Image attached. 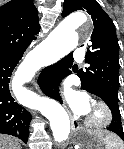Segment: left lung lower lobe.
Returning <instances> with one entry per match:
<instances>
[{
    "label": "left lung lower lobe",
    "instance_id": "obj_1",
    "mask_svg": "<svg viewBox=\"0 0 124 149\" xmlns=\"http://www.w3.org/2000/svg\"><path fill=\"white\" fill-rule=\"evenodd\" d=\"M73 64V55L70 53L57 63L46 67L40 74L38 78V83L40 85L41 90L48 97H51L60 103H62L61 96L59 94V84L62 79L71 74V67ZM84 90H87L89 93L95 94L100 97L111 109L112 111V122L108 127V130L117 134L124 141V133L121 125V118L116 110V103L112 98L104 93L97 92L91 89H87L82 87Z\"/></svg>",
    "mask_w": 124,
    "mask_h": 149
}]
</instances>
